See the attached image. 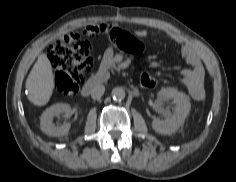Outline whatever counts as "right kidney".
<instances>
[{
    "instance_id": "obj_1",
    "label": "right kidney",
    "mask_w": 236,
    "mask_h": 182,
    "mask_svg": "<svg viewBox=\"0 0 236 182\" xmlns=\"http://www.w3.org/2000/svg\"><path fill=\"white\" fill-rule=\"evenodd\" d=\"M60 114H63L65 118L70 117L72 115L71 107L68 104L58 103L47 108L40 117L41 131L53 137L66 136L70 129V123L53 124V117Z\"/></svg>"
}]
</instances>
